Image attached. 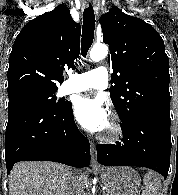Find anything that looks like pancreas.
<instances>
[{"instance_id": "cf45deb5", "label": "pancreas", "mask_w": 178, "mask_h": 195, "mask_svg": "<svg viewBox=\"0 0 178 195\" xmlns=\"http://www.w3.org/2000/svg\"><path fill=\"white\" fill-rule=\"evenodd\" d=\"M103 195H107V193L105 192Z\"/></svg>"}]
</instances>
